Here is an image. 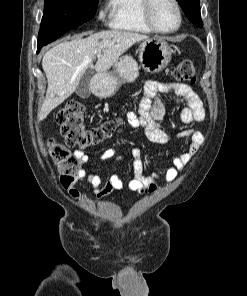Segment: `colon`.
Returning a JSON list of instances; mask_svg holds the SVG:
<instances>
[{"instance_id":"obj_1","label":"colon","mask_w":247,"mask_h":296,"mask_svg":"<svg viewBox=\"0 0 247 296\" xmlns=\"http://www.w3.org/2000/svg\"><path fill=\"white\" fill-rule=\"evenodd\" d=\"M174 78L180 82L194 84L197 73L192 62L181 61L175 68ZM56 121L60 126L66 146L52 143L49 146V151L61 174L62 184L69 186L75 181L80 162L68 147H77L81 150L93 147L113 134L116 123L108 121L100 126L88 127L85 123V108L77 101H71L60 109Z\"/></svg>"}]
</instances>
